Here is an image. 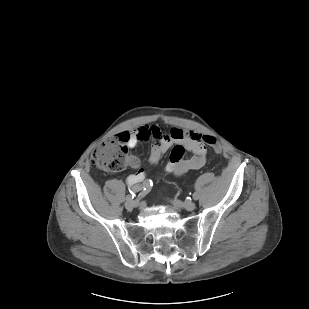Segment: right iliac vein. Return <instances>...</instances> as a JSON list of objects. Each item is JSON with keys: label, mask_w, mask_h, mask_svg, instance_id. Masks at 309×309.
<instances>
[{"label": "right iliac vein", "mask_w": 309, "mask_h": 309, "mask_svg": "<svg viewBox=\"0 0 309 309\" xmlns=\"http://www.w3.org/2000/svg\"><path fill=\"white\" fill-rule=\"evenodd\" d=\"M137 201H135V200H131V201H128V200H126V202H125V208L127 209V210H132V209H134L135 207H137Z\"/></svg>", "instance_id": "63e3f726"}]
</instances>
